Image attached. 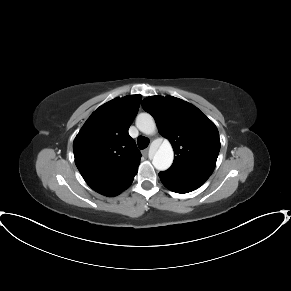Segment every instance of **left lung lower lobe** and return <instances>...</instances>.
I'll return each mask as SVG.
<instances>
[{
    "mask_svg": "<svg viewBox=\"0 0 291 291\" xmlns=\"http://www.w3.org/2000/svg\"><path fill=\"white\" fill-rule=\"evenodd\" d=\"M159 177L162 183L171 191L176 193H188L199 188L204 182L188 180L160 172Z\"/></svg>",
    "mask_w": 291,
    "mask_h": 291,
    "instance_id": "left-lung-lower-lobe-1",
    "label": "left lung lower lobe"
}]
</instances>
